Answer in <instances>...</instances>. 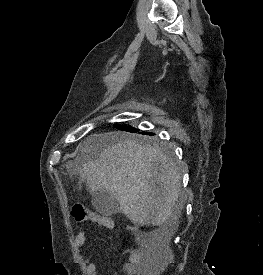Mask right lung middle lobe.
Listing matches in <instances>:
<instances>
[{
    "mask_svg": "<svg viewBox=\"0 0 263 275\" xmlns=\"http://www.w3.org/2000/svg\"><path fill=\"white\" fill-rule=\"evenodd\" d=\"M114 127L121 131H126V132H130V133H138V134L150 136V137H141L142 139H144L146 141H153V137H151V136L155 135V134H152L151 132H140L138 129H135L133 126L127 125V124H115Z\"/></svg>",
    "mask_w": 263,
    "mask_h": 275,
    "instance_id": "dd1d6c3e",
    "label": "right lung middle lobe"
}]
</instances>
